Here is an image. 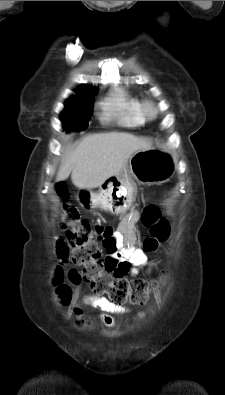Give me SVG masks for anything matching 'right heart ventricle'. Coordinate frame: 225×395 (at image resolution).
<instances>
[{
    "label": "right heart ventricle",
    "mask_w": 225,
    "mask_h": 395,
    "mask_svg": "<svg viewBox=\"0 0 225 395\" xmlns=\"http://www.w3.org/2000/svg\"><path fill=\"white\" fill-rule=\"evenodd\" d=\"M103 120L124 127H138L145 120L140 113V100L123 88H117L102 103Z\"/></svg>",
    "instance_id": "right-heart-ventricle-1"
}]
</instances>
